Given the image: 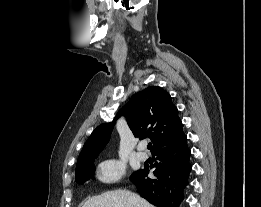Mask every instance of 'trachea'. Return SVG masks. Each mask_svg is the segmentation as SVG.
<instances>
[{"mask_svg": "<svg viewBox=\"0 0 261 207\" xmlns=\"http://www.w3.org/2000/svg\"><path fill=\"white\" fill-rule=\"evenodd\" d=\"M151 147H152V144L149 143L148 146H147V148H148V149H151Z\"/></svg>", "mask_w": 261, "mask_h": 207, "instance_id": "1", "label": "trachea"}]
</instances>
